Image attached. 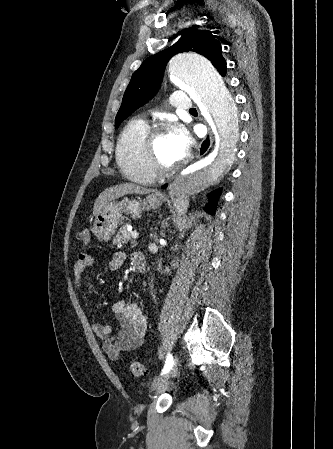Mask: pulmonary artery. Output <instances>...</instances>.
I'll return each instance as SVG.
<instances>
[{"label":"pulmonary artery","mask_w":333,"mask_h":449,"mask_svg":"<svg viewBox=\"0 0 333 449\" xmlns=\"http://www.w3.org/2000/svg\"><path fill=\"white\" fill-rule=\"evenodd\" d=\"M172 103L175 107L183 110L192 109V101L190 96L185 91H176L171 96Z\"/></svg>","instance_id":"1"}]
</instances>
